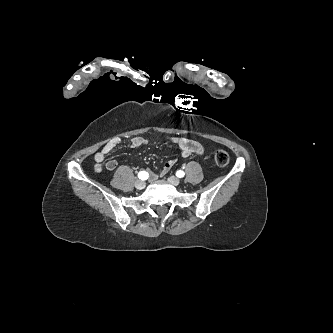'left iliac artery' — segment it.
<instances>
[{"mask_svg":"<svg viewBox=\"0 0 333 333\" xmlns=\"http://www.w3.org/2000/svg\"><path fill=\"white\" fill-rule=\"evenodd\" d=\"M184 175H185V173L182 170H179V171L176 172V176L179 177V178L184 177Z\"/></svg>","mask_w":333,"mask_h":333,"instance_id":"left-iliac-artery-1","label":"left iliac artery"}]
</instances>
